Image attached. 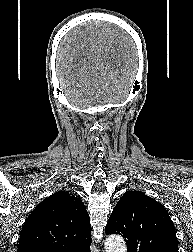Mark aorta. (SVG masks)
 <instances>
[{
  "instance_id": "762f6f07",
  "label": "aorta",
  "mask_w": 193,
  "mask_h": 252,
  "mask_svg": "<svg viewBox=\"0 0 193 252\" xmlns=\"http://www.w3.org/2000/svg\"><path fill=\"white\" fill-rule=\"evenodd\" d=\"M127 246L121 236L112 235L105 240V252H126Z\"/></svg>"
}]
</instances>
